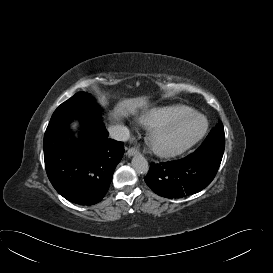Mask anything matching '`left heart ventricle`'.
Masks as SVG:
<instances>
[{
    "mask_svg": "<svg viewBox=\"0 0 273 273\" xmlns=\"http://www.w3.org/2000/svg\"><path fill=\"white\" fill-rule=\"evenodd\" d=\"M198 122H190L179 129L171 132L168 135H165L160 138V143L162 145L171 144V143H180L188 140L195 133Z\"/></svg>",
    "mask_w": 273,
    "mask_h": 273,
    "instance_id": "b2bd125f",
    "label": "left heart ventricle"
}]
</instances>
